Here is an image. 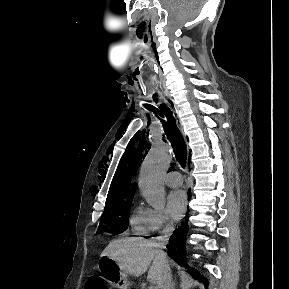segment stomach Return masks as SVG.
Here are the masks:
<instances>
[{
    "label": "stomach",
    "mask_w": 289,
    "mask_h": 289,
    "mask_svg": "<svg viewBox=\"0 0 289 289\" xmlns=\"http://www.w3.org/2000/svg\"><path fill=\"white\" fill-rule=\"evenodd\" d=\"M117 266V263L112 258L101 256L97 264V269L104 274L108 280H111L113 286L120 289H127L129 286L128 275Z\"/></svg>",
    "instance_id": "0dacf381"
}]
</instances>
